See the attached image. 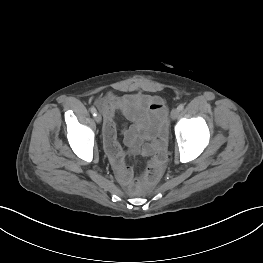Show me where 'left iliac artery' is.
<instances>
[{
    "instance_id": "obj_1",
    "label": "left iliac artery",
    "mask_w": 263,
    "mask_h": 263,
    "mask_svg": "<svg viewBox=\"0 0 263 263\" xmlns=\"http://www.w3.org/2000/svg\"><path fill=\"white\" fill-rule=\"evenodd\" d=\"M178 109H179V111H182V110L184 109V104H180V105L178 106Z\"/></svg>"
}]
</instances>
